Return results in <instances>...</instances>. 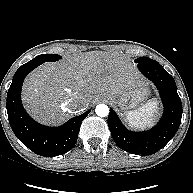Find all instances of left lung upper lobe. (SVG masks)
Returning a JSON list of instances; mask_svg holds the SVG:
<instances>
[{
  "label": "left lung upper lobe",
  "mask_w": 193,
  "mask_h": 193,
  "mask_svg": "<svg viewBox=\"0 0 193 193\" xmlns=\"http://www.w3.org/2000/svg\"><path fill=\"white\" fill-rule=\"evenodd\" d=\"M150 60H152V59L146 58V57H142V58L136 59V63L141 64V63L148 62V61H150Z\"/></svg>",
  "instance_id": "left-lung-upper-lobe-1"
}]
</instances>
